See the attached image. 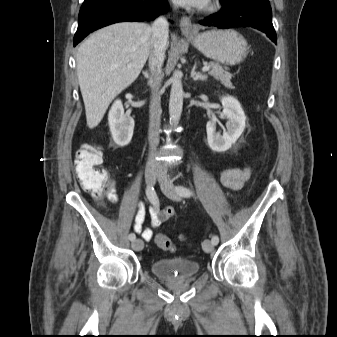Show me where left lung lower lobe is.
Segmentation results:
<instances>
[{
    "label": "left lung lower lobe",
    "instance_id": "obj_1",
    "mask_svg": "<svg viewBox=\"0 0 337 337\" xmlns=\"http://www.w3.org/2000/svg\"><path fill=\"white\" fill-rule=\"evenodd\" d=\"M222 4L223 8L220 12L199 23L221 29L252 27L265 33L274 43L277 42L268 0H228Z\"/></svg>",
    "mask_w": 337,
    "mask_h": 337
}]
</instances>
